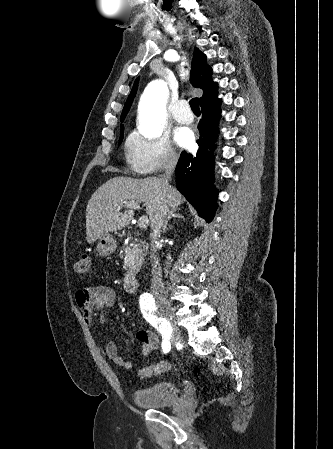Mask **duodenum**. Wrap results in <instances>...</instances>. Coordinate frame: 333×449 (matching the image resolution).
I'll use <instances>...</instances> for the list:
<instances>
[{
	"mask_svg": "<svg viewBox=\"0 0 333 449\" xmlns=\"http://www.w3.org/2000/svg\"><path fill=\"white\" fill-rule=\"evenodd\" d=\"M142 245H144L143 242ZM138 274L139 270L137 268H132L125 274L123 288L126 292L133 293L137 290L139 284Z\"/></svg>",
	"mask_w": 333,
	"mask_h": 449,
	"instance_id": "410a0bca",
	"label": "duodenum"
}]
</instances>
